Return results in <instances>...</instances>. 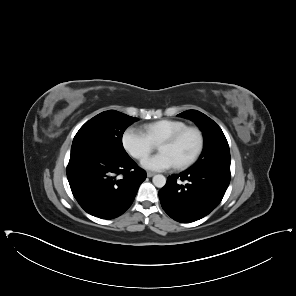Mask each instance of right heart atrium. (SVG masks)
Here are the masks:
<instances>
[{"label": "right heart atrium", "instance_id": "1", "mask_svg": "<svg viewBox=\"0 0 296 296\" xmlns=\"http://www.w3.org/2000/svg\"><path fill=\"white\" fill-rule=\"evenodd\" d=\"M123 144L127 152L134 158L144 159L156 148L147 134L138 130H128L123 137Z\"/></svg>", "mask_w": 296, "mask_h": 296}]
</instances>
